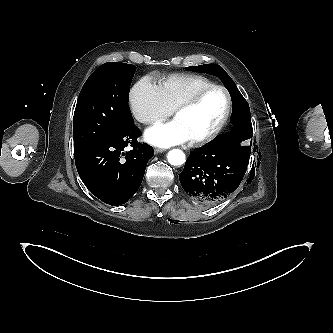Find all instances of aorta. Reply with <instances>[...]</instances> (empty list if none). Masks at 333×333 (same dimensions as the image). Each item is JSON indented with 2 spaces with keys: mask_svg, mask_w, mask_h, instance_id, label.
I'll list each match as a JSON object with an SVG mask.
<instances>
[{
  "mask_svg": "<svg viewBox=\"0 0 333 333\" xmlns=\"http://www.w3.org/2000/svg\"><path fill=\"white\" fill-rule=\"evenodd\" d=\"M167 160L173 166H180L185 162V154L180 149H172L167 154Z\"/></svg>",
  "mask_w": 333,
  "mask_h": 333,
  "instance_id": "762f6f07",
  "label": "aorta"
}]
</instances>
